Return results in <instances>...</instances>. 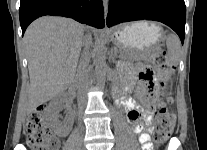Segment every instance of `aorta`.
Listing matches in <instances>:
<instances>
[{
    "mask_svg": "<svg viewBox=\"0 0 207 150\" xmlns=\"http://www.w3.org/2000/svg\"><path fill=\"white\" fill-rule=\"evenodd\" d=\"M105 41H106L105 38L101 39L94 62L97 84L100 87L105 86L106 74H107V64H106L107 49L105 46Z\"/></svg>",
    "mask_w": 207,
    "mask_h": 150,
    "instance_id": "obj_1",
    "label": "aorta"
}]
</instances>
